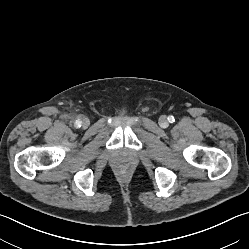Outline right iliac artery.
<instances>
[{
	"mask_svg": "<svg viewBox=\"0 0 249 249\" xmlns=\"http://www.w3.org/2000/svg\"><path fill=\"white\" fill-rule=\"evenodd\" d=\"M75 126L78 128V127H81V121L78 119L76 120L75 122Z\"/></svg>",
	"mask_w": 249,
	"mask_h": 249,
	"instance_id": "obj_1",
	"label": "right iliac artery"
}]
</instances>
